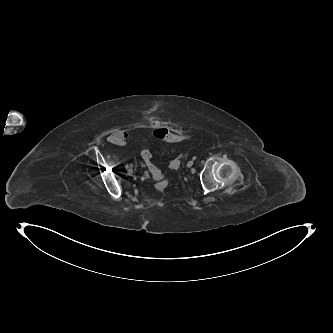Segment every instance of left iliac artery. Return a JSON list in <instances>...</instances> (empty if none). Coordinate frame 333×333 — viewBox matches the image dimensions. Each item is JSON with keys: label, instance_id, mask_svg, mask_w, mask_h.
<instances>
[{"label": "left iliac artery", "instance_id": "left-iliac-artery-1", "mask_svg": "<svg viewBox=\"0 0 333 333\" xmlns=\"http://www.w3.org/2000/svg\"><path fill=\"white\" fill-rule=\"evenodd\" d=\"M196 159V157H193V160H195Z\"/></svg>", "mask_w": 333, "mask_h": 333}]
</instances>
